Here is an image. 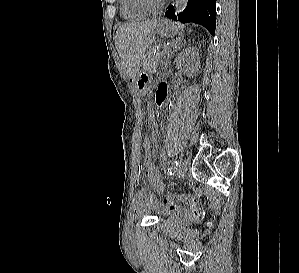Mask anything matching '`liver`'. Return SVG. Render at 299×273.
Masks as SVG:
<instances>
[{"label":"liver","instance_id":"1","mask_svg":"<svg viewBox=\"0 0 299 273\" xmlns=\"http://www.w3.org/2000/svg\"><path fill=\"white\" fill-rule=\"evenodd\" d=\"M159 20L124 23L117 29L115 46L132 78H136L146 50L155 39Z\"/></svg>","mask_w":299,"mask_h":273}]
</instances>
